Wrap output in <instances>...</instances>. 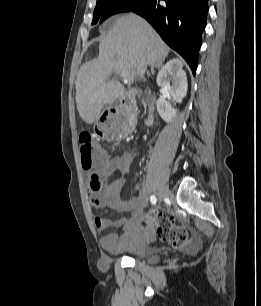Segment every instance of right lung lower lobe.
Listing matches in <instances>:
<instances>
[{"mask_svg": "<svg viewBox=\"0 0 261 306\" xmlns=\"http://www.w3.org/2000/svg\"><path fill=\"white\" fill-rule=\"evenodd\" d=\"M143 0L131 11L144 17L162 39L177 51L195 74L201 33L206 26L208 0Z\"/></svg>", "mask_w": 261, "mask_h": 306, "instance_id": "98d812e1", "label": "right lung lower lobe"}]
</instances>
